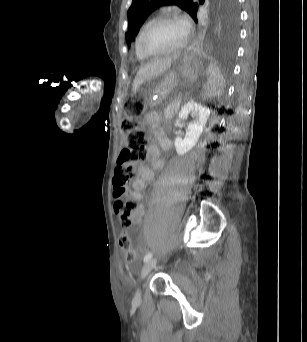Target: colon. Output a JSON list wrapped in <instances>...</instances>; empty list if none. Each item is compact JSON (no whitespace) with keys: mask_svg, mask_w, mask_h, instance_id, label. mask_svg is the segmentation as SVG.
Masks as SVG:
<instances>
[{"mask_svg":"<svg viewBox=\"0 0 307 342\" xmlns=\"http://www.w3.org/2000/svg\"><path fill=\"white\" fill-rule=\"evenodd\" d=\"M144 108V103L138 98L131 99L125 107L123 130L127 133V142L119 156L115 157L117 165L112 177L113 209L122 229L118 238L119 247L125 252L128 266L133 263L139 264L132 246L131 235L127 232L135 214V204L126 197L129 195L127 184L135 177V165L146 159L147 138L139 123Z\"/></svg>","mask_w":307,"mask_h":342,"instance_id":"obj_1","label":"colon"}]
</instances>
